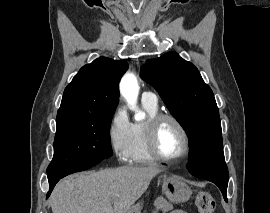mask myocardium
Masks as SVG:
<instances>
[{"instance_id": "obj_1", "label": "myocardium", "mask_w": 270, "mask_h": 213, "mask_svg": "<svg viewBox=\"0 0 270 213\" xmlns=\"http://www.w3.org/2000/svg\"><path fill=\"white\" fill-rule=\"evenodd\" d=\"M166 120L172 121L182 133L184 138V150L177 157H167L163 155L157 146V134L160 126ZM146 145L151 156L159 161L176 163L184 160L190 153V137L184 124L174 115L169 113H157L148 119L146 124Z\"/></svg>"}]
</instances>
